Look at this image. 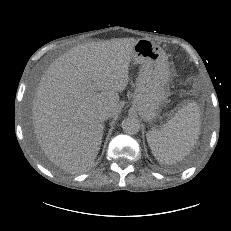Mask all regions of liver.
<instances>
[{
	"mask_svg": "<svg viewBox=\"0 0 231 231\" xmlns=\"http://www.w3.org/2000/svg\"><path fill=\"white\" fill-rule=\"evenodd\" d=\"M136 42L119 38L78 45L42 76L33 100V127L55 165L76 173L93 164L105 128L98 114L104 108L110 117L118 114Z\"/></svg>",
	"mask_w": 231,
	"mask_h": 231,
	"instance_id": "obj_1",
	"label": "liver"
}]
</instances>
